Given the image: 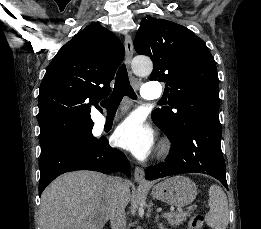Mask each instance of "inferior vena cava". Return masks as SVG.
<instances>
[{
    "label": "inferior vena cava",
    "mask_w": 261,
    "mask_h": 229,
    "mask_svg": "<svg viewBox=\"0 0 261 229\" xmlns=\"http://www.w3.org/2000/svg\"><path fill=\"white\" fill-rule=\"evenodd\" d=\"M124 187L125 183L120 177H111V179H109L108 193L111 201L109 219L111 229H125L126 215L123 203L120 199Z\"/></svg>",
    "instance_id": "inferior-vena-cava-1"
}]
</instances>
